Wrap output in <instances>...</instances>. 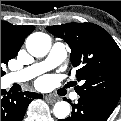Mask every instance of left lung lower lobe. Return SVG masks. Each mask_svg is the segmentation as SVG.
I'll return each mask as SVG.
<instances>
[{
	"instance_id": "left-lung-lower-lobe-1",
	"label": "left lung lower lobe",
	"mask_w": 121,
	"mask_h": 121,
	"mask_svg": "<svg viewBox=\"0 0 121 121\" xmlns=\"http://www.w3.org/2000/svg\"><path fill=\"white\" fill-rule=\"evenodd\" d=\"M112 112L89 99L80 97L78 103L72 105V115L58 121H106Z\"/></svg>"
}]
</instances>
